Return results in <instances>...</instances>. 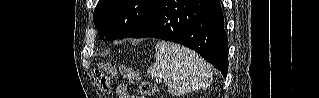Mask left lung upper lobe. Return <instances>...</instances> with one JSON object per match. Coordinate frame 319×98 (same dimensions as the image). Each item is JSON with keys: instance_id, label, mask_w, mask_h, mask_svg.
<instances>
[{"instance_id": "left-lung-upper-lobe-1", "label": "left lung upper lobe", "mask_w": 319, "mask_h": 98, "mask_svg": "<svg viewBox=\"0 0 319 98\" xmlns=\"http://www.w3.org/2000/svg\"><path fill=\"white\" fill-rule=\"evenodd\" d=\"M159 0H99L94 24L99 37L115 40L130 37L149 18Z\"/></svg>"}]
</instances>
